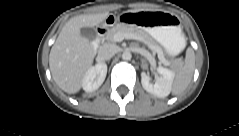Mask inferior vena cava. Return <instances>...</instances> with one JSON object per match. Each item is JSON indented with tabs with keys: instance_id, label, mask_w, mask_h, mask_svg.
I'll return each instance as SVG.
<instances>
[{
	"instance_id": "inferior-vena-cava-1",
	"label": "inferior vena cava",
	"mask_w": 239,
	"mask_h": 136,
	"mask_svg": "<svg viewBox=\"0 0 239 136\" xmlns=\"http://www.w3.org/2000/svg\"><path fill=\"white\" fill-rule=\"evenodd\" d=\"M118 51V47L114 44L105 43L100 46L98 50V60L106 61L110 60Z\"/></svg>"
}]
</instances>
